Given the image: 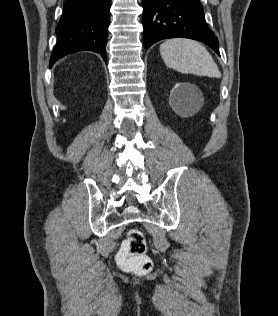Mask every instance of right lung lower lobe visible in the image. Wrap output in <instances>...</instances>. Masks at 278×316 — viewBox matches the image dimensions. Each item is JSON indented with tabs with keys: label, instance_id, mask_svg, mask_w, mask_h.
<instances>
[{
	"label": "right lung lower lobe",
	"instance_id": "1",
	"mask_svg": "<svg viewBox=\"0 0 278 316\" xmlns=\"http://www.w3.org/2000/svg\"><path fill=\"white\" fill-rule=\"evenodd\" d=\"M111 0H66L57 25V44L50 67L61 57L77 51L100 53L106 61Z\"/></svg>",
	"mask_w": 278,
	"mask_h": 316
}]
</instances>
